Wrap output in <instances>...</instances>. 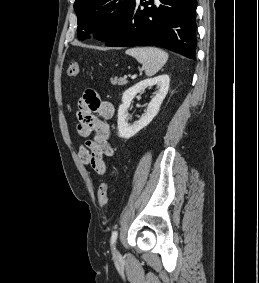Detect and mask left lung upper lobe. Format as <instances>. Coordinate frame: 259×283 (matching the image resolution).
<instances>
[{"mask_svg":"<svg viewBox=\"0 0 259 283\" xmlns=\"http://www.w3.org/2000/svg\"><path fill=\"white\" fill-rule=\"evenodd\" d=\"M134 0H76L77 35L80 40L94 37L106 42L119 29Z\"/></svg>","mask_w":259,"mask_h":283,"instance_id":"1","label":"left lung upper lobe"}]
</instances>
